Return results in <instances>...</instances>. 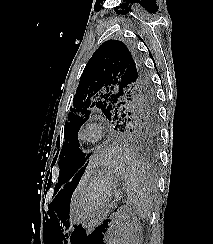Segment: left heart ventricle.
<instances>
[{"label":"left heart ventricle","instance_id":"1","mask_svg":"<svg viewBox=\"0 0 213 244\" xmlns=\"http://www.w3.org/2000/svg\"><path fill=\"white\" fill-rule=\"evenodd\" d=\"M89 134H90V135H93V132H90Z\"/></svg>","mask_w":213,"mask_h":244}]
</instances>
